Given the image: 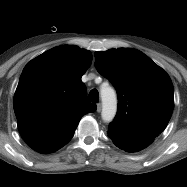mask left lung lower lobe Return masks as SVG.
<instances>
[{
    "mask_svg": "<svg viewBox=\"0 0 187 187\" xmlns=\"http://www.w3.org/2000/svg\"><path fill=\"white\" fill-rule=\"evenodd\" d=\"M109 136L111 137L112 141L116 146H118L121 149H124L127 152H135V151L142 150V149H135L134 147H129L128 145H126L124 143V139L127 138L126 136H121V135H109Z\"/></svg>",
    "mask_w": 187,
    "mask_h": 187,
    "instance_id": "0a47b994",
    "label": "left lung lower lobe"
}]
</instances>
